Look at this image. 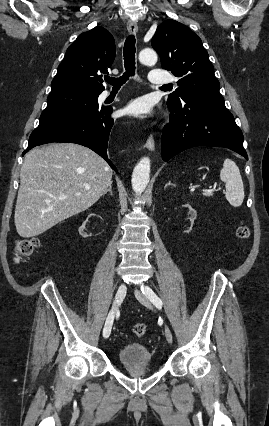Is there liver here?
Segmentation results:
<instances>
[{"instance_id":"6515ba94","label":"liver","mask_w":269,"mask_h":426,"mask_svg":"<svg viewBox=\"0 0 269 426\" xmlns=\"http://www.w3.org/2000/svg\"><path fill=\"white\" fill-rule=\"evenodd\" d=\"M113 171L87 147L52 143L29 151L20 172L14 221L24 238L38 236L95 204Z\"/></svg>"}]
</instances>
